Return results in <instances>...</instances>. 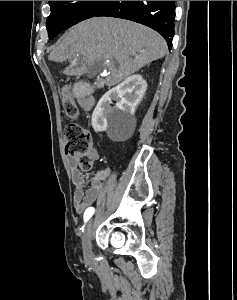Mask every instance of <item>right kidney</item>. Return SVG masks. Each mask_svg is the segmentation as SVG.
<instances>
[{
  "mask_svg": "<svg viewBox=\"0 0 237 300\" xmlns=\"http://www.w3.org/2000/svg\"><path fill=\"white\" fill-rule=\"evenodd\" d=\"M145 91H147V83L141 75H132L125 79L123 83L113 87L107 91L100 101H98L92 113V127L96 133L106 131L107 119L104 115L105 109H110L112 101H116L115 107L122 113H130L133 115L136 111L138 103H140Z\"/></svg>",
  "mask_w": 237,
  "mask_h": 300,
  "instance_id": "right-kidney-1",
  "label": "right kidney"
}]
</instances>
